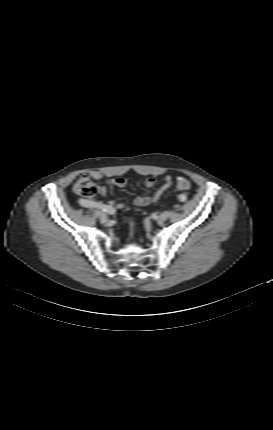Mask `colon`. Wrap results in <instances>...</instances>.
Returning a JSON list of instances; mask_svg holds the SVG:
<instances>
[{
    "mask_svg": "<svg viewBox=\"0 0 273 430\" xmlns=\"http://www.w3.org/2000/svg\"><path fill=\"white\" fill-rule=\"evenodd\" d=\"M190 187H191L190 182L186 180H182L176 185V188L180 191L188 190L190 189ZM73 190L75 194H77L78 196L90 198L97 194L98 187L94 182V179L89 174H84L74 184ZM183 197H186V196H184L183 194H180L178 196V199H183Z\"/></svg>",
    "mask_w": 273,
    "mask_h": 430,
    "instance_id": "obj_1",
    "label": "colon"
}]
</instances>
